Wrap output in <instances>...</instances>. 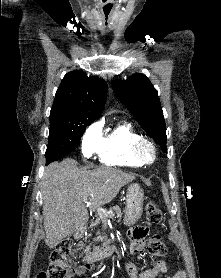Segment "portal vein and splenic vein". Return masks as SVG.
Instances as JSON below:
<instances>
[{
	"label": "portal vein and splenic vein",
	"instance_id": "1",
	"mask_svg": "<svg viewBox=\"0 0 221 278\" xmlns=\"http://www.w3.org/2000/svg\"><path fill=\"white\" fill-rule=\"evenodd\" d=\"M106 215H110L112 212L111 211H106V210H102Z\"/></svg>",
	"mask_w": 221,
	"mask_h": 278
}]
</instances>
